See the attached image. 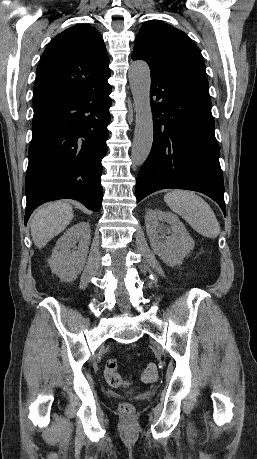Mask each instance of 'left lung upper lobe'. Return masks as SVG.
Instances as JSON below:
<instances>
[{"mask_svg":"<svg viewBox=\"0 0 257 459\" xmlns=\"http://www.w3.org/2000/svg\"><path fill=\"white\" fill-rule=\"evenodd\" d=\"M132 59L146 61L154 76L165 79L196 77L208 81L198 47L184 32L164 22L153 20L141 27Z\"/></svg>","mask_w":257,"mask_h":459,"instance_id":"left-lung-upper-lobe-1","label":"left lung upper lobe"}]
</instances>
